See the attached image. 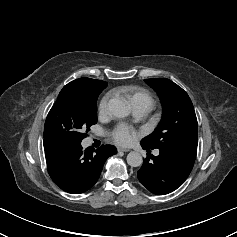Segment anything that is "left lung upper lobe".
I'll return each mask as SVG.
<instances>
[{
	"label": "left lung upper lobe",
	"mask_w": 237,
	"mask_h": 237,
	"mask_svg": "<svg viewBox=\"0 0 237 237\" xmlns=\"http://www.w3.org/2000/svg\"><path fill=\"white\" fill-rule=\"evenodd\" d=\"M145 81L158 93L163 114L154 132L142 139L141 143L150 149L197 151V118L188 94L166 78Z\"/></svg>",
	"instance_id": "5c2ea615"
}]
</instances>
